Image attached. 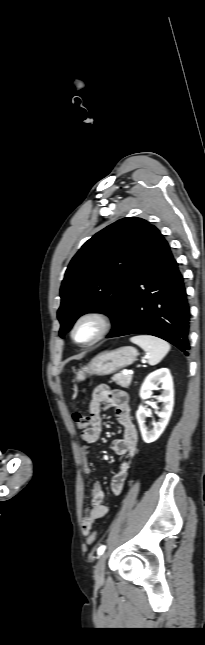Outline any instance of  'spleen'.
Masks as SVG:
<instances>
[{
    "label": "spleen",
    "mask_w": 205,
    "mask_h": 645,
    "mask_svg": "<svg viewBox=\"0 0 205 645\" xmlns=\"http://www.w3.org/2000/svg\"><path fill=\"white\" fill-rule=\"evenodd\" d=\"M130 341L147 353L148 363L151 366L158 364L170 350V345L166 341L151 335L133 336Z\"/></svg>",
    "instance_id": "spleen-1"
}]
</instances>
